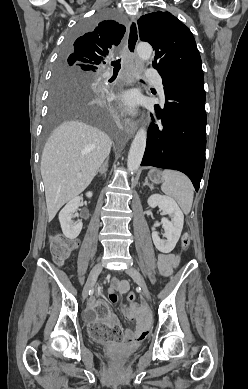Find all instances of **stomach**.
<instances>
[{"instance_id": "obj_1", "label": "stomach", "mask_w": 248, "mask_h": 389, "mask_svg": "<svg viewBox=\"0 0 248 389\" xmlns=\"http://www.w3.org/2000/svg\"><path fill=\"white\" fill-rule=\"evenodd\" d=\"M148 178L153 182V183H159L162 180V173L158 169H151L148 172Z\"/></svg>"}]
</instances>
